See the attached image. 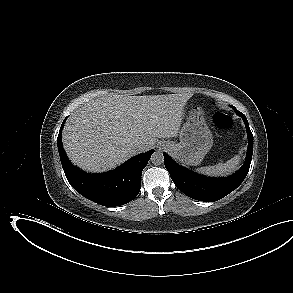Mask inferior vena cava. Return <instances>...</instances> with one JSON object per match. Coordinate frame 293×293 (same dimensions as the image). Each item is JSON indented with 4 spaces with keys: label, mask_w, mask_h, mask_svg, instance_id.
Masks as SVG:
<instances>
[{
    "label": "inferior vena cava",
    "mask_w": 293,
    "mask_h": 293,
    "mask_svg": "<svg viewBox=\"0 0 293 293\" xmlns=\"http://www.w3.org/2000/svg\"><path fill=\"white\" fill-rule=\"evenodd\" d=\"M137 147H138L139 151H145V150H148L149 149V147L147 145L146 146H142L141 144H138Z\"/></svg>",
    "instance_id": "obj_1"
}]
</instances>
